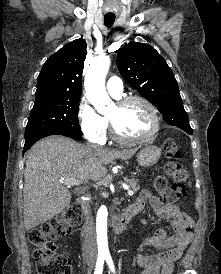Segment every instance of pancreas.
<instances>
[{
  "instance_id": "1",
  "label": "pancreas",
  "mask_w": 221,
  "mask_h": 274,
  "mask_svg": "<svg viewBox=\"0 0 221 274\" xmlns=\"http://www.w3.org/2000/svg\"><path fill=\"white\" fill-rule=\"evenodd\" d=\"M124 180L132 188L133 192H137L140 189L138 180L128 178H125Z\"/></svg>"
}]
</instances>
